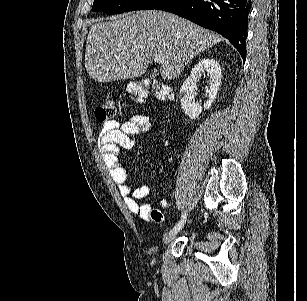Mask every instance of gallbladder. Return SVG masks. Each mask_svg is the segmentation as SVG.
I'll list each match as a JSON object with an SVG mask.
<instances>
[{
    "label": "gallbladder",
    "instance_id": "1",
    "mask_svg": "<svg viewBox=\"0 0 307 301\" xmlns=\"http://www.w3.org/2000/svg\"><path fill=\"white\" fill-rule=\"evenodd\" d=\"M151 76H157V72H152Z\"/></svg>",
    "mask_w": 307,
    "mask_h": 301
}]
</instances>
